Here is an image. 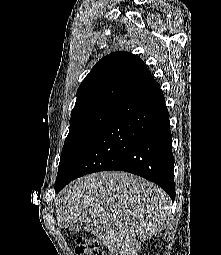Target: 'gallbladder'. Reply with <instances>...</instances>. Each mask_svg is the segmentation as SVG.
Returning <instances> with one entry per match:
<instances>
[{
	"instance_id": "bac80fb5",
	"label": "gallbladder",
	"mask_w": 221,
	"mask_h": 255,
	"mask_svg": "<svg viewBox=\"0 0 221 255\" xmlns=\"http://www.w3.org/2000/svg\"><path fill=\"white\" fill-rule=\"evenodd\" d=\"M82 222L80 220H75L69 227L72 233H78L81 229Z\"/></svg>"
}]
</instances>
